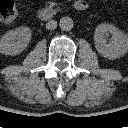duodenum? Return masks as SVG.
I'll return each mask as SVG.
<instances>
[{
    "instance_id": "obj_1",
    "label": "duodenum",
    "mask_w": 128,
    "mask_h": 128,
    "mask_svg": "<svg viewBox=\"0 0 128 128\" xmlns=\"http://www.w3.org/2000/svg\"><path fill=\"white\" fill-rule=\"evenodd\" d=\"M73 6L77 11L80 12L85 11L88 8V4L85 0H75ZM37 16L42 21H49L53 19L54 12L48 8H41L38 10Z\"/></svg>"
}]
</instances>
